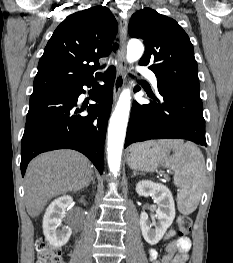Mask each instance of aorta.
I'll list each match as a JSON object with an SVG mask.
<instances>
[{"label":"aorta","mask_w":233,"mask_h":263,"mask_svg":"<svg viewBox=\"0 0 233 263\" xmlns=\"http://www.w3.org/2000/svg\"><path fill=\"white\" fill-rule=\"evenodd\" d=\"M143 52V44L137 39H131L127 45V61L133 63L139 60ZM130 99V90L124 89L110 118L108 128V166L115 176L120 170L123 144L131 105Z\"/></svg>","instance_id":"obj_1"}]
</instances>
